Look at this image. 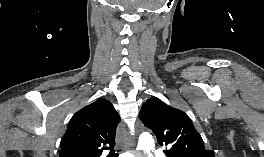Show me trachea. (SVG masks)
<instances>
[{"label":"trachea","instance_id":"3493384b","mask_svg":"<svg viewBox=\"0 0 264 157\" xmlns=\"http://www.w3.org/2000/svg\"><path fill=\"white\" fill-rule=\"evenodd\" d=\"M117 156H118L117 154L114 155V157H117Z\"/></svg>","mask_w":264,"mask_h":157}]
</instances>
